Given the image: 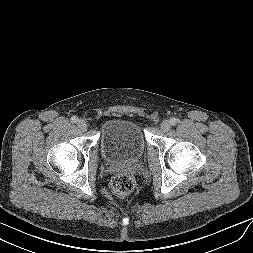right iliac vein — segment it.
<instances>
[{"label": "right iliac vein", "mask_w": 253, "mask_h": 253, "mask_svg": "<svg viewBox=\"0 0 253 253\" xmlns=\"http://www.w3.org/2000/svg\"><path fill=\"white\" fill-rule=\"evenodd\" d=\"M77 126H78V128H79L81 131H86V130H87V123H86L85 120L80 119V120L77 122Z\"/></svg>", "instance_id": "1"}]
</instances>
